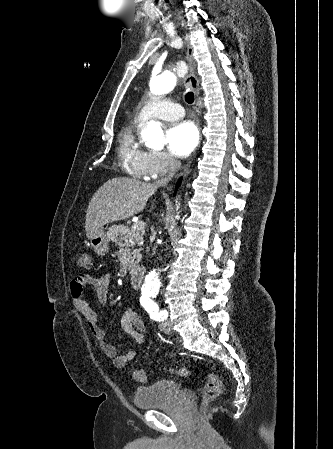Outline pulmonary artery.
Wrapping results in <instances>:
<instances>
[{"label": "pulmonary artery", "instance_id": "obj_1", "mask_svg": "<svg viewBox=\"0 0 333 449\" xmlns=\"http://www.w3.org/2000/svg\"><path fill=\"white\" fill-rule=\"evenodd\" d=\"M184 110L181 105L169 99H155L147 103L138 113L137 119L145 122L149 119L172 121L181 118Z\"/></svg>", "mask_w": 333, "mask_h": 449}]
</instances>
